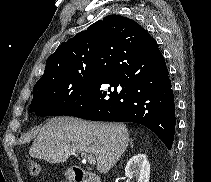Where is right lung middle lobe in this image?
Listing matches in <instances>:
<instances>
[{
  "label": "right lung middle lobe",
  "instance_id": "1",
  "mask_svg": "<svg viewBox=\"0 0 211 182\" xmlns=\"http://www.w3.org/2000/svg\"><path fill=\"white\" fill-rule=\"evenodd\" d=\"M95 65L37 83L33 89L30 110L38 116H60L89 86Z\"/></svg>",
  "mask_w": 211,
  "mask_h": 182
}]
</instances>
